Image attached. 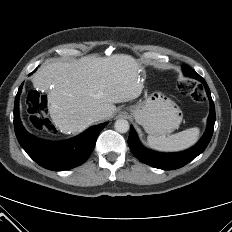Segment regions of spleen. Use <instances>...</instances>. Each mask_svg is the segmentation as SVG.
I'll return each mask as SVG.
<instances>
[{
  "instance_id": "spleen-1",
  "label": "spleen",
  "mask_w": 232,
  "mask_h": 232,
  "mask_svg": "<svg viewBox=\"0 0 232 232\" xmlns=\"http://www.w3.org/2000/svg\"><path fill=\"white\" fill-rule=\"evenodd\" d=\"M199 136L197 127L186 129L168 137L148 135L147 141L151 148L163 152H176L193 146Z\"/></svg>"
}]
</instances>
